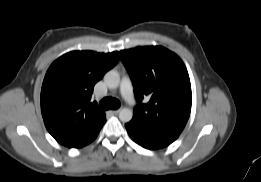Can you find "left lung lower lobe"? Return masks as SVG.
<instances>
[{"label": "left lung lower lobe", "mask_w": 261, "mask_h": 182, "mask_svg": "<svg viewBox=\"0 0 261 182\" xmlns=\"http://www.w3.org/2000/svg\"><path fill=\"white\" fill-rule=\"evenodd\" d=\"M125 127L132 140L147 149L163 148L176 140L175 138L140 131L131 122L127 123Z\"/></svg>", "instance_id": "0a47b994"}]
</instances>
